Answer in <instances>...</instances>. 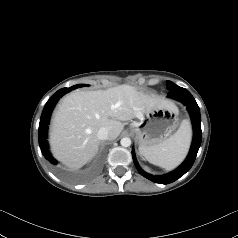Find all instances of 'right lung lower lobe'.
I'll list each match as a JSON object with an SVG mask.
<instances>
[{
  "label": "right lung lower lobe",
  "instance_id": "98d812e1",
  "mask_svg": "<svg viewBox=\"0 0 238 238\" xmlns=\"http://www.w3.org/2000/svg\"><path fill=\"white\" fill-rule=\"evenodd\" d=\"M76 88H79V87H77V85H75L70 88H62V89L58 90L47 101V103L45 104V107L43 109V112L41 114L40 123H39V134H38L39 146L41 148V151H42L44 157L53 165H57L58 162L52 157V155L49 151L48 142L46 140L50 115H51V112H52L56 102L58 101V99L61 98L64 94H66Z\"/></svg>",
  "mask_w": 238,
  "mask_h": 238
}]
</instances>
